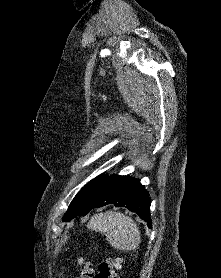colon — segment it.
<instances>
[{"mask_svg":"<svg viewBox=\"0 0 221 278\" xmlns=\"http://www.w3.org/2000/svg\"><path fill=\"white\" fill-rule=\"evenodd\" d=\"M82 265V278H118V270L121 265V259L118 256H110L100 262L98 269L87 263L80 262Z\"/></svg>","mask_w":221,"mask_h":278,"instance_id":"colon-1","label":"colon"}]
</instances>
